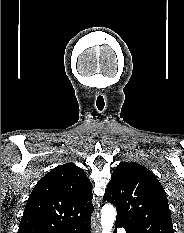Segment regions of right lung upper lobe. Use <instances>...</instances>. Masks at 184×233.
<instances>
[{
  "instance_id": "1",
  "label": "right lung upper lobe",
  "mask_w": 184,
  "mask_h": 233,
  "mask_svg": "<svg viewBox=\"0 0 184 233\" xmlns=\"http://www.w3.org/2000/svg\"><path fill=\"white\" fill-rule=\"evenodd\" d=\"M92 185L74 163L41 178L26 203L18 233H49L80 223L93 212Z\"/></svg>"
}]
</instances>
